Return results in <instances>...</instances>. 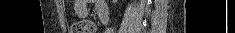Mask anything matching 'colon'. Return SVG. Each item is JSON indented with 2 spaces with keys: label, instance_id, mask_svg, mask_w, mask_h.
<instances>
[{
  "label": "colon",
  "instance_id": "obj_1",
  "mask_svg": "<svg viewBox=\"0 0 235 33\" xmlns=\"http://www.w3.org/2000/svg\"><path fill=\"white\" fill-rule=\"evenodd\" d=\"M71 33H94V25L88 20H81L73 24Z\"/></svg>",
  "mask_w": 235,
  "mask_h": 33
}]
</instances>
